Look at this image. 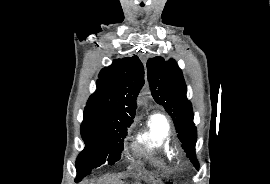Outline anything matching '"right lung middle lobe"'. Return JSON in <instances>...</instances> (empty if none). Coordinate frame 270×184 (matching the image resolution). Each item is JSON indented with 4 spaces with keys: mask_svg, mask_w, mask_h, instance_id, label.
I'll return each mask as SVG.
<instances>
[{
    "mask_svg": "<svg viewBox=\"0 0 270 184\" xmlns=\"http://www.w3.org/2000/svg\"><path fill=\"white\" fill-rule=\"evenodd\" d=\"M132 122L94 118L85 109L81 125L85 148L76 161V181L90 174L93 168L101 166L106 160L112 165L120 159L127 127Z\"/></svg>",
    "mask_w": 270,
    "mask_h": 184,
    "instance_id": "dd1d6c3e",
    "label": "right lung middle lobe"
}]
</instances>
